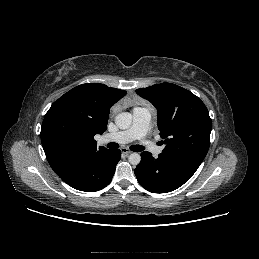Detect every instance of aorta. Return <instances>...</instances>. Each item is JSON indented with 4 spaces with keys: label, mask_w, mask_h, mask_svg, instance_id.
<instances>
[{
    "label": "aorta",
    "mask_w": 259,
    "mask_h": 259,
    "mask_svg": "<svg viewBox=\"0 0 259 259\" xmlns=\"http://www.w3.org/2000/svg\"><path fill=\"white\" fill-rule=\"evenodd\" d=\"M115 124L120 129H128L132 124V115L129 112H122L118 114L115 117ZM128 160L131 165H138L141 161V156L138 153H132L130 154Z\"/></svg>",
    "instance_id": "aorta-1"
}]
</instances>
